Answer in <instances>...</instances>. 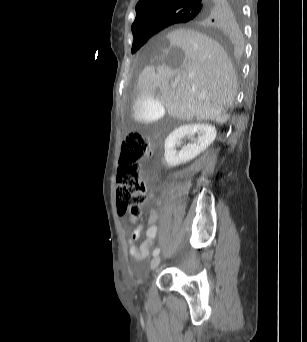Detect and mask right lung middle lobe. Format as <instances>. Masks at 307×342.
<instances>
[{
    "label": "right lung middle lobe",
    "instance_id": "right-lung-middle-lobe-1",
    "mask_svg": "<svg viewBox=\"0 0 307 342\" xmlns=\"http://www.w3.org/2000/svg\"><path fill=\"white\" fill-rule=\"evenodd\" d=\"M196 14H197V12L195 10H192V9L182 10V11L171 14L167 18L166 23L167 24H175V23L185 22V21L192 19ZM158 31H160V29H154V30H149V31H144L141 33L134 34L133 35L134 36V42L132 45L131 52L135 53L137 50H139L147 42V40L151 36L156 34Z\"/></svg>",
    "mask_w": 307,
    "mask_h": 342
}]
</instances>
